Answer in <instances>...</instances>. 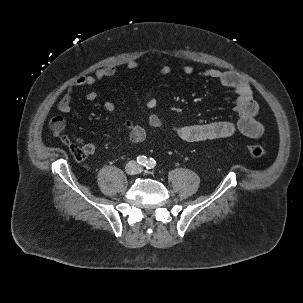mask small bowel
<instances>
[{
    "label": "small bowel",
    "mask_w": 303,
    "mask_h": 303,
    "mask_svg": "<svg viewBox=\"0 0 303 303\" xmlns=\"http://www.w3.org/2000/svg\"><path fill=\"white\" fill-rule=\"evenodd\" d=\"M138 63L135 60H130L126 63V68L130 71L137 69ZM194 69L192 66H185L183 73L191 75ZM171 72L169 65L165 64L159 69V74L168 75ZM116 73L114 65H108L98 69L92 75L81 76L77 78L67 89L65 94L60 99L57 109L65 115L71 111V102L73 89L75 87H91L99 81L113 77ZM205 78H210L218 81L222 86L227 87L235 93V108L238 113V119L234 122L230 121H215L209 123H198L189 125H175L173 132L180 139L187 142H200L218 138H226L236 133H240L249 138H258L264 132L263 125L256 119L258 113V104L253 98V91L249 83L240 75L231 71H221L218 69H207L201 73ZM98 96L96 90H91L87 93L86 98L89 101H94ZM149 109L156 107L157 100L153 96H149L145 101ZM105 110L116 120L128 133L132 143L138 144L145 140L146 130L144 127L136 124L134 121L122 118L113 102L107 100L104 103ZM146 123L150 128L157 129L162 126V119L156 114H150L146 118ZM66 122L63 116L57 115L51 120V127L63 131ZM72 138L81 144L88 155L95 153V146L92 143L85 142L83 138L76 134H72Z\"/></svg>",
    "instance_id": "small-bowel-1"
}]
</instances>
